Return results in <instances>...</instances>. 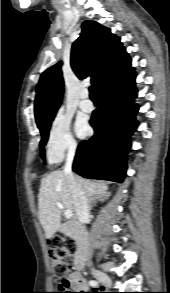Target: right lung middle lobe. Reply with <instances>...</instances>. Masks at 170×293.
Returning a JSON list of instances; mask_svg holds the SVG:
<instances>
[{
  "label": "right lung middle lobe",
  "instance_id": "right-lung-middle-lobe-1",
  "mask_svg": "<svg viewBox=\"0 0 170 293\" xmlns=\"http://www.w3.org/2000/svg\"><path fill=\"white\" fill-rule=\"evenodd\" d=\"M50 126H51V124H48V125L42 127L41 129H39L41 131V135H42V139H41L40 145H39L41 148L42 157L44 156V145L46 144L47 139H48Z\"/></svg>",
  "mask_w": 170,
  "mask_h": 293
}]
</instances>
